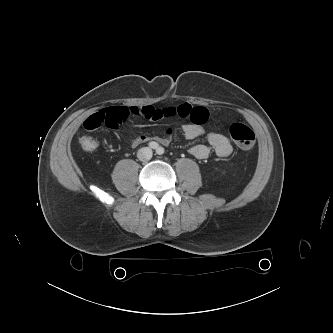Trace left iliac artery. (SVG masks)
Here are the masks:
<instances>
[{"label":"left iliac artery","instance_id":"44dca946","mask_svg":"<svg viewBox=\"0 0 333 333\" xmlns=\"http://www.w3.org/2000/svg\"><path fill=\"white\" fill-rule=\"evenodd\" d=\"M164 153V149L162 147H158L157 154L161 155Z\"/></svg>","mask_w":333,"mask_h":333}]
</instances>
